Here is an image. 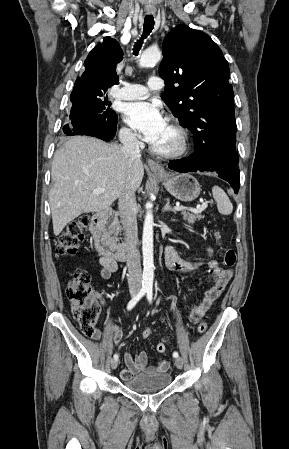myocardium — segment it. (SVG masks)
Listing matches in <instances>:
<instances>
[{"label": "myocardium", "instance_id": "1", "mask_svg": "<svg viewBox=\"0 0 289 449\" xmlns=\"http://www.w3.org/2000/svg\"><path fill=\"white\" fill-rule=\"evenodd\" d=\"M177 135V145L171 150H159L153 145L150 150L156 156L162 158H178L185 155L189 150V135L187 130L177 121L170 119L167 124Z\"/></svg>", "mask_w": 289, "mask_h": 449}]
</instances>
